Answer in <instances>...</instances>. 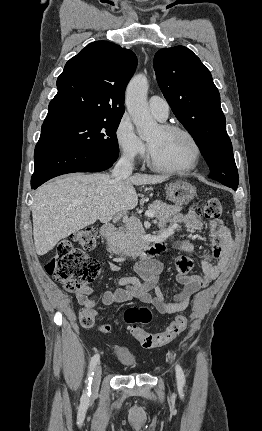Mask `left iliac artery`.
I'll return each instance as SVG.
<instances>
[{
    "instance_id": "1",
    "label": "left iliac artery",
    "mask_w": 262,
    "mask_h": 431,
    "mask_svg": "<svg viewBox=\"0 0 262 431\" xmlns=\"http://www.w3.org/2000/svg\"><path fill=\"white\" fill-rule=\"evenodd\" d=\"M175 369H176V377H177L178 384L183 386L185 384L184 372H183L181 366L178 364L176 365Z\"/></svg>"
}]
</instances>
